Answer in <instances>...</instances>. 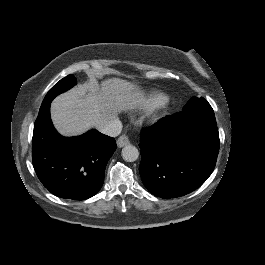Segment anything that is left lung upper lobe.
Listing matches in <instances>:
<instances>
[{
    "label": "left lung upper lobe",
    "mask_w": 265,
    "mask_h": 265,
    "mask_svg": "<svg viewBox=\"0 0 265 265\" xmlns=\"http://www.w3.org/2000/svg\"><path fill=\"white\" fill-rule=\"evenodd\" d=\"M206 100L204 99V98H196V97H193V98H191L188 102H187V104L184 106V108H183V110H186V109H188V108H191V107H193V106H195V105H198V104H200V103H203V102H205Z\"/></svg>",
    "instance_id": "left-lung-upper-lobe-1"
}]
</instances>
